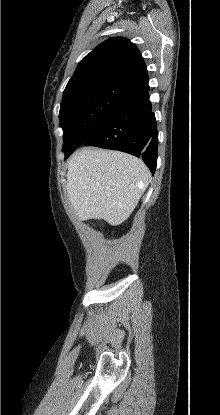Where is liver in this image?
Listing matches in <instances>:
<instances>
[{"instance_id": "liver-1", "label": "liver", "mask_w": 220, "mask_h": 415, "mask_svg": "<svg viewBox=\"0 0 220 415\" xmlns=\"http://www.w3.org/2000/svg\"><path fill=\"white\" fill-rule=\"evenodd\" d=\"M150 181L141 159L112 150L83 148L68 163L67 194L80 220L118 225L130 216Z\"/></svg>"}]
</instances>
